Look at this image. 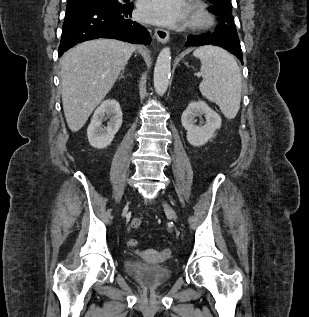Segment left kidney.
I'll list each match as a JSON object with an SVG mask.
<instances>
[{"label": "left kidney", "instance_id": "left-kidney-1", "mask_svg": "<svg viewBox=\"0 0 309 317\" xmlns=\"http://www.w3.org/2000/svg\"><path fill=\"white\" fill-rule=\"evenodd\" d=\"M204 115L205 124H194L195 117ZM182 126L187 131V141L193 146L206 144L214 132L221 127V117L213 111L204 101H194L188 105L181 116Z\"/></svg>", "mask_w": 309, "mask_h": 317}]
</instances>
